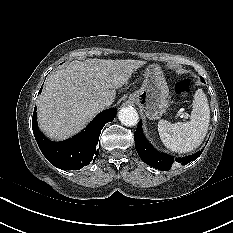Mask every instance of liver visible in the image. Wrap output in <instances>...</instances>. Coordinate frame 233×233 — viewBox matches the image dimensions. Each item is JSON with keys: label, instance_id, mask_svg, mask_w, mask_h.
Returning a JSON list of instances; mask_svg holds the SVG:
<instances>
[{"label": "liver", "instance_id": "6515ba94", "mask_svg": "<svg viewBox=\"0 0 233 233\" xmlns=\"http://www.w3.org/2000/svg\"><path fill=\"white\" fill-rule=\"evenodd\" d=\"M144 64L132 59H88L53 72L37 100L40 128L56 140L79 132L103 109L99 100L108 98L112 104L116 89Z\"/></svg>", "mask_w": 233, "mask_h": 233}]
</instances>
